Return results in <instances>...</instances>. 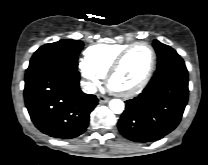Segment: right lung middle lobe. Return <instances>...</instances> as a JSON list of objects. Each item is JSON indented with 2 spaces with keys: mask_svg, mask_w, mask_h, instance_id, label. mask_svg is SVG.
<instances>
[{
  "mask_svg": "<svg viewBox=\"0 0 208 165\" xmlns=\"http://www.w3.org/2000/svg\"><path fill=\"white\" fill-rule=\"evenodd\" d=\"M82 48V41L72 39L45 44L34 53L28 68L55 59L65 60L74 66H78L77 57Z\"/></svg>",
  "mask_w": 208,
  "mask_h": 165,
  "instance_id": "obj_1",
  "label": "right lung middle lobe"
}]
</instances>
